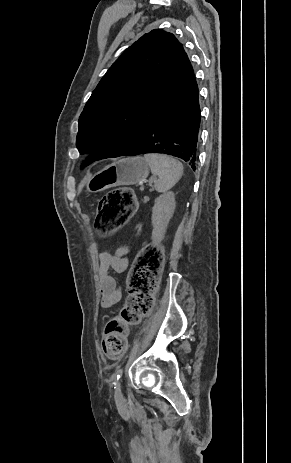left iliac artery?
Segmentation results:
<instances>
[{"instance_id":"left-iliac-artery-1","label":"left iliac artery","mask_w":291,"mask_h":463,"mask_svg":"<svg viewBox=\"0 0 291 463\" xmlns=\"http://www.w3.org/2000/svg\"><path fill=\"white\" fill-rule=\"evenodd\" d=\"M122 373H123V369H122V368L118 369V370L115 372V374H114V380H115V381H118V380L121 378ZM113 384L116 385L115 382H113ZM114 388H115V387H114Z\"/></svg>"}]
</instances>
